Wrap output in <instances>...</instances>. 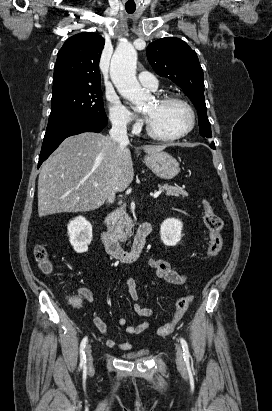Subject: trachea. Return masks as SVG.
I'll list each match as a JSON object with an SVG mask.
<instances>
[{"label": "trachea", "instance_id": "trachea-1", "mask_svg": "<svg viewBox=\"0 0 272 411\" xmlns=\"http://www.w3.org/2000/svg\"><path fill=\"white\" fill-rule=\"evenodd\" d=\"M125 9L127 11V13L132 14L135 12L136 7L135 6H125Z\"/></svg>", "mask_w": 272, "mask_h": 411}]
</instances>
